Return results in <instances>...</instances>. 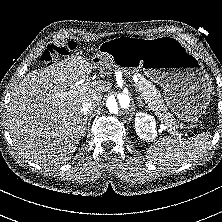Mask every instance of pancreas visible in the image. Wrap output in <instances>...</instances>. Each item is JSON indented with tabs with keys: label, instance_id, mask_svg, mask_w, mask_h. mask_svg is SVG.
I'll return each instance as SVG.
<instances>
[{
	"label": "pancreas",
	"instance_id": "obj_1",
	"mask_svg": "<svg viewBox=\"0 0 222 222\" xmlns=\"http://www.w3.org/2000/svg\"><path fill=\"white\" fill-rule=\"evenodd\" d=\"M138 81L135 83L136 88L145 99L148 107L155 113L159 120L163 121L169 130L174 131L177 124L176 119L168 112L164 100L161 98V93L156 87L148 81L144 76L137 74Z\"/></svg>",
	"mask_w": 222,
	"mask_h": 222
}]
</instances>
